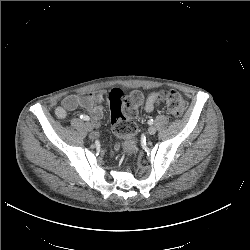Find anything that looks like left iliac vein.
Returning <instances> with one entry per match:
<instances>
[{"instance_id": "1", "label": "left iliac vein", "mask_w": 250, "mask_h": 250, "mask_svg": "<svg viewBox=\"0 0 250 250\" xmlns=\"http://www.w3.org/2000/svg\"><path fill=\"white\" fill-rule=\"evenodd\" d=\"M148 133H149L150 135H154V134L156 133V128L153 127V126L149 127V128H148Z\"/></svg>"}]
</instances>
